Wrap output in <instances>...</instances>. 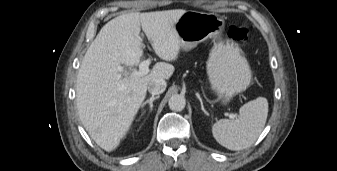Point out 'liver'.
Here are the masks:
<instances>
[{"mask_svg": "<svg viewBox=\"0 0 337 171\" xmlns=\"http://www.w3.org/2000/svg\"><path fill=\"white\" fill-rule=\"evenodd\" d=\"M183 9L128 13L106 23L87 49L76 84L80 120L95 142L113 151L124 138L154 79H169L175 68L156 63L144 76H132L119 66H137L143 55L144 31L155 53L165 61H175L181 44L174 25Z\"/></svg>", "mask_w": 337, "mask_h": 171, "instance_id": "6515ba94", "label": "liver"}]
</instances>
